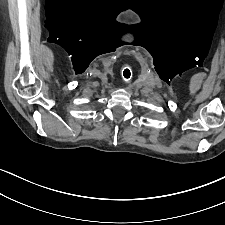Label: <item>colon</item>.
<instances>
[{
  "mask_svg": "<svg viewBox=\"0 0 225 225\" xmlns=\"http://www.w3.org/2000/svg\"><path fill=\"white\" fill-rule=\"evenodd\" d=\"M125 70H126L125 73L127 75V78H129L130 75H131L130 68L129 67H126Z\"/></svg>",
  "mask_w": 225,
  "mask_h": 225,
  "instance_id": "5ec220e1",
  "label": "colon"
}]
</instances>
